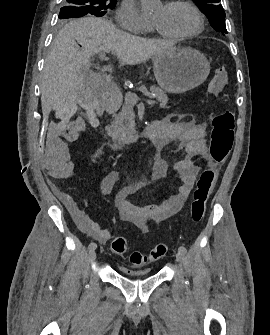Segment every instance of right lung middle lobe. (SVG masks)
<instances>
[{"label":"right lung middle lobe","mask_w":270,"mask_h":335,"mask_svg":"<svg viewBox=\"0 0 270 335\" xmlns=\"http://www.w3.org/2000/svg\"><path fill=\"white\" fill-rule=\"evenodd\" d=\"M58 18L70 19L92 14L96 17L105 15L116 5V0H64Z\"/></svg>","instance_id":"dd1d6c3e"}]
</instances>
